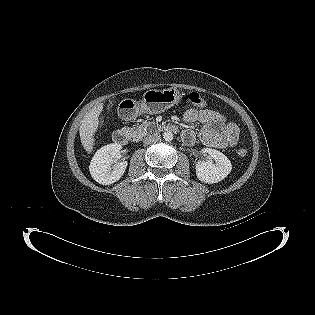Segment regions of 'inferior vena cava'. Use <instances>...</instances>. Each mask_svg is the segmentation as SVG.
<instances>
[{
	"label": "inferior vena cava",
	"mask_w": 315,
	"mask_h": 315,
	"mask_svg": "<svg viewBox=\"0 0 315 315\" xmlns=\"http://www.w3.org/2000/svg\"><path fill=\"white\" fill-rule=\"evenodd\" d=\"M160 139H161V135L158 133H154V134L147 135L144 138L143 142L145 145H149L151 143L159 141Z\"/></svg>",
	"instance_id": "602c4592"
}]
</instances>
